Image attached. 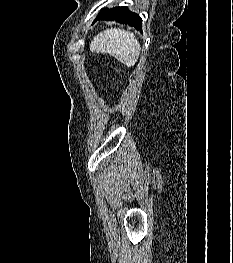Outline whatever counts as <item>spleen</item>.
<instances>
[{"label":"spleen","instance_id":"3e777b00","mask_svg":"<svg viewBox=\"0 0 233 263\" xmlns=\"http://www.w3.org/2000/svg\"><path fill=\"white\" fill-rule=\"evenodd\" d=\"M90 51L109 54L127 67H133L138 61L141 46L133 33L119 28H111L94 37L90 44Z\"/></svg>","mask_w":233,"mask_h":263}]
</instances>
